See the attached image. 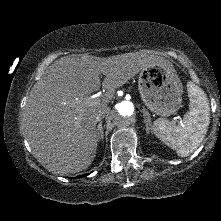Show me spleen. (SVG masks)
<instances>
[{
    "instance_id": "3e777b00",
    "label": "spleen",
    "mask_w": 221,
    "mask_h": 221,
    "mask_svg": "<svg viewBox=\"0 0 221 221\" xmlns=\"http://www.w3.org/2000/svg\"><path fill=\"white\" fill-rule=\"evenodd\" d=\"M189 111L175 125L166 119H157L153 131L165 145L175 150L180 157L193 153L203 141L210 123V107L207 95L195 83H187Z\"/></svg>"
}]
</instances>
